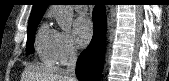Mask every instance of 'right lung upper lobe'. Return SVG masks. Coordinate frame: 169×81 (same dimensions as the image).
I'll list each match as a JSON object with an SVG mask.
<instances>
[{
  "label": "right lung upper lobe",
  "instance_id": "1",
  "mask_svg": "<svg viewBox=\"0 0 169 81\" xmlns=\"http://www.w3.org/2000/svg\"><path fill=\"white\" fill-rule=\"evenodd\" d=\"M48 4L49 0H34V5L29 18V23L41 20Z\"/></svg>",
  "mask_w": 169,
  "mask_h": 81
}]
</instances>
